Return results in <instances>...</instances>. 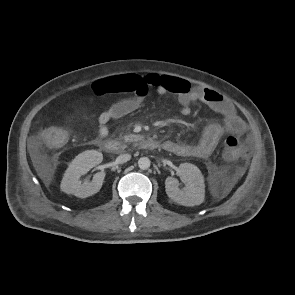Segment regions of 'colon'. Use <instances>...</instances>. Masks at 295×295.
Instances as JSON below:
<instances>
[{"label": "colon", "mask_w": 295, "mask_h": 295, "mask_svg": "<svg viewBox=\"0 0 295 295\" xmlns=\"http://www.w3.org/2000/svg\"><path fill=\"white\" fill-rule=\"evenodd\" d=\"M42 139L51 148H59L67 141V134L59 128H47L42 132ZM224 155L229 160L239 162V169H243L248 161L249 151L241 140L235 136L228 137L225 141Z\"/></svg>", "instance_id": "1"}]
</instances>
